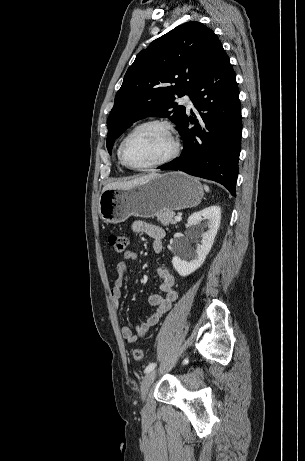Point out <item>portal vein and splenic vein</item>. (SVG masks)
Segmentation results:
<instances>
[{"label": "portal vein and splenic vein", "instance_id": "18ae733b", "mask_svg": "<svg viewBox=\"0 0 305 461\" xmlns=\"http://www.w3.org/2000/svg\"><path fill=\"white\" fill-rule=\"evenodd\" d=\"M175 220H176V221H181V220H182V217H181V216H176V217H175Z\"/></svg>", "mask_w": 305, "mask_h": 461}]
</instances>
